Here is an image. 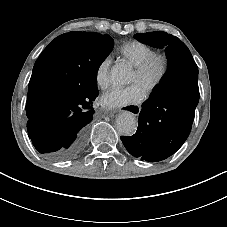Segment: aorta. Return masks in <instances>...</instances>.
<instances>
[{"instance_id":"762f6f07","label":"aorta","mask_w":227,"mask_h":227,"mask_svg":"<svg viewBox=\"0 0 227 227\" xmlns=\"http://www.w3.org/2000/svg\"><path fill=\"white\" fill-rule=\"evenodd\" d=\"M111 81L115 84H125L131 80V71L125 64H115L111 69ZM137 119L131 112H122L116 119L117 130L126 136H131L137 129Z\"/></svg>"}]
</instances>
